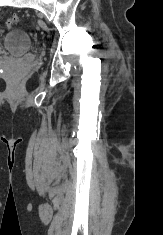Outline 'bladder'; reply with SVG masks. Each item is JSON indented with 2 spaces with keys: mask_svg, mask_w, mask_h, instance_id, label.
Listing matches in <instances>:
<instances>
[{
  "mask_svg": "<svg viewBox=\"0 0 163 235\" xmlns=\"http://www.w3.org/2000/svg\"><path fill=\"white\" fill-rule=\"evenodd\" d=\"M29 34L22 29H12L5 33L0 41V48L12 54H24L31 49Z\"/></svg>",
  "mask_w": 163,
  "mask_h": 235,
  "instance_id": "1",
  "label": "bladder"
}]
</instances>
